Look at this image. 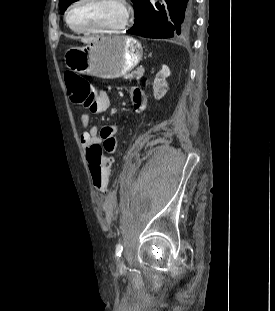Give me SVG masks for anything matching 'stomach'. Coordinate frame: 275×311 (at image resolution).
I'll list each match as a JSON object with an SVG mask.
<instances>
[{
  "instance_id": "0dacf381",
  "label": "stomach",
  "mask_w": 275,
  "mask_h": 311,
  "mask_svg": "<svg viewBox=\"0 0 275 311\" xmlns=\"http://www.w3.org/2000/svg\"><path fill=\"white\" fill-rule=\"evenodd\" d=\"M142 55L141 44L131 37H97L84 47L68 48L64 61L73 72L114 79L136 67Z\"/></svg>"
}]
</instances>
